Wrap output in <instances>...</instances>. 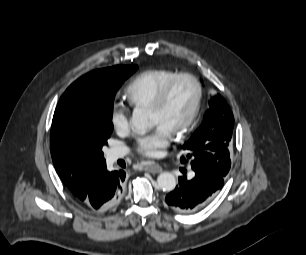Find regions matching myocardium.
Masks as SVG:
<instances>
[{
    "mask_svg": "<svg viewBox=\"0 0 306 255\" xmlns=\"http://www.w3.org/2000/svg\"><path fill=\"white\" fill-rule=\"evenodd\" d=\"M182 79H190L196 85L197 96L193 110L189 117L179 127L171 132L174 136L183 135L195 123L200 114L204 97V88L201 81L191 73H179L163 87V89L156 95L148 107L149 110L161 109L167 101L176 83Z\"/></svg>",
    "mask_w": 306,
    "mask_h": 255,
    "instance_id": "obj_1",
    "label": "myocardium"
}]
</instances>
